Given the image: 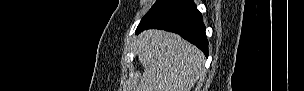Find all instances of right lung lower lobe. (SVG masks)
<instances>
[{"mask_svg":"<svg viewBox=\"0 0 304 91\" xmlns=\"http://www.w3.org/2000/svg\"><path fill=\"white\" fill-rule=\"evenodd\" d=\"M150 28L177 33L208 56L202 15L192 0H158L141 19L136 33Z\"/></svg>","mask_w":304,"mask_h":91,"instance_id":"obj_1","label":"right lung lower lobe"}]
</instances>
